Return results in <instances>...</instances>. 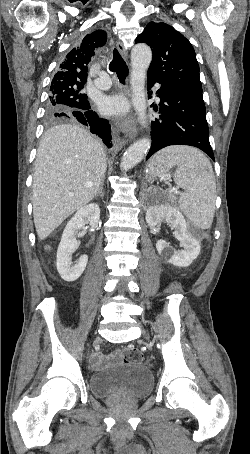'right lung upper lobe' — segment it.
Here are the masks:
<instances>
[{
	"label": "right lung upper lobe",
	"instance_id": "obj_1",
	"mask_svg": "<svg viewBox=\"0 0 250 454\" xmlns=\"http://www.w3.org/2000/svg\"><path fill=\"white\" fill-rule=\"evenodd\" d=\"M106 39L107 34L103 30L86 35L82 42L65 56L51 85H84L87 80V65L95 55L94 50L103 46Z\"/></svg>",
	"mask_w": 250,
	"mask_h": 454
}]
</instances>
